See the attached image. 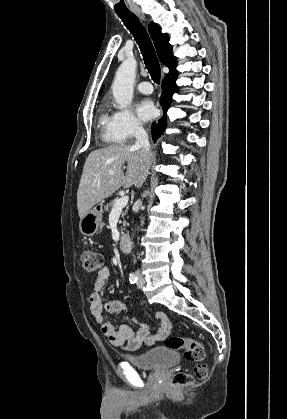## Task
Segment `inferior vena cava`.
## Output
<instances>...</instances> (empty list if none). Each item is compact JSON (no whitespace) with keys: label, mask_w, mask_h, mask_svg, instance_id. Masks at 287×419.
<instances>
[{"label":"inferior vena cava","mask_w":287,"mask_h":419,"mask_svg":"<svg viewBox=\"0 0 287 419\" xmlns=\"http://www.w3.org/2000/svg\"><path fill=\"white\" fill-rule=\"evenodd\" d=\"M135 136L136 142L134 146L137 148H142L147 154L150 153L151 146L146 130L142 126L137 125L135 127ZM137 274H140L139 270L137 271Z\"/></svg>","instance_id":"602c4592"}]
</instances>
